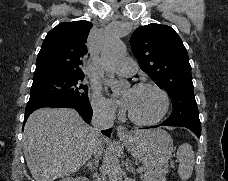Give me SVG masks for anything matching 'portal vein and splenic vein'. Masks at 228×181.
I'll list each match as a JSON object with an SVG mask.
<instances>
[{"label":"portal vein and splenic vein","mask_w":228,"mask_h":181,"mask_svg":"<svg viewBox=\"0 0 228 181\" xmlns=\"http://www.w3.org/2000/svg\"><path fill=\"white\" fill-rule=\"evenodd\" d=\"M136 170H137L136 172L139 173V174L143 173V170H142V168L140 166Z\"/></svg>","instance_id":"portal-vein-and-splenic-vein-1"}]
</instances>
